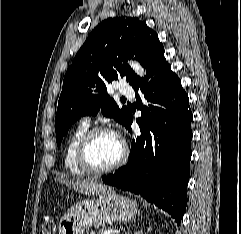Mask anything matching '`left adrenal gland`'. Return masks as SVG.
<instances>
[{
    "label": "left adrenal gland",
    "mask_w": 241,
    "mask_h": 234,
    "mask_svg": "<svg viewBox=\"0 0 241 234\" xmlns=\"http://www.w3.org/2000/svg\"><path fill=\"white\" fill-rule=\"evenodd\" d=\"M141 232H142V229H141V231H137L134 234H141ZM124 234H130V230L127 229V231H125Z\"/></svg>",
    "instance_id": "obj_1"
}]
</instances>
